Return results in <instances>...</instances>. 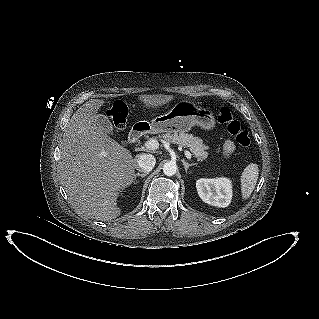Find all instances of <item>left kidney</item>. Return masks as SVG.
I'll use <instances>...</instances> for the list:
<instances>
[{"mask_svg": "<svg viewBox=\"0 0 319 319\" xmlns=\"http://www.w3.org/2000/svg\"><path fill=\"white\" fill-rule=\"evenodd\" d=\"M196 188L200 198L207 204L224 208L231 202L232 184L228 178H201L197 180Z\"/></svg>", "mask_w": 319, "mask_h": 319, "instance_id": "obj_1", "label": "left kidney"}]
</instances>
